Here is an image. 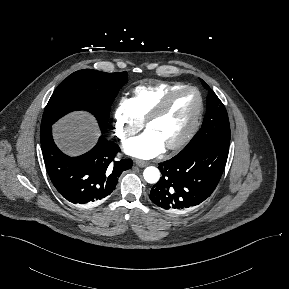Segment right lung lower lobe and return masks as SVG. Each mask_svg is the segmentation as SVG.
<instances>
[{
  "label": "right lung lower lobe",
  "mask_w": 289,
  "mask_h": 289,
  "mask_svg": "<svg viewBox=\"0 0 289 289\" xmlns=\"http://www.w3.org/2000/svg\"><path fill=\"white\" fill-rule=\"evenodd\" d=\"M41 148L47 173L57 191L69 202L94 205L113 192L132 160H115L120 148L104 136L87 153L69 157L55 145L51 126L41 130Z\"/></svg>",
  "instance_id": "obj_1"
}]
</instances>
